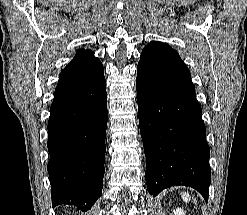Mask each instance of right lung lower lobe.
Returning a JSON list of instances; mask_svg holds the SVG:
<instances>
[{
	"instance_id": "1",
	"label": "right lung lower lobe",
	"mask_w": 247,
	"mask_h": 215,
	"mask_svg": "<svg viewBox=\"0 0 247 215\" xmlns=\"http://www.w3.org/2000/svg\"><path fill=\"white\" fill-rule=\"evenodd\" d=\"M106 81L90 50L61 71L48 120L52 206L87 211L102 193L107 127Z\"/></svg>"
}]
</instances>
